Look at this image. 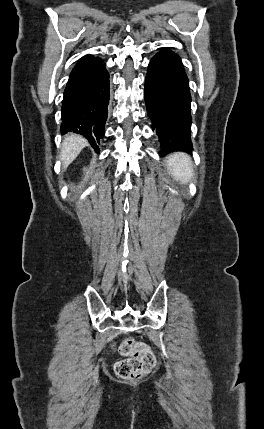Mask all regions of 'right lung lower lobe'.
<instances>
[{
    "label": "right lung lower lobe",
    "instance_id": "1",
    "mask_svg": "<svg viewBox=\"0 0 264 429\" xmlns=\"http://www.w3.org/2000/svg\"><path fill=\"white\" fill-rule=\"evenodd\" d=\"M103 60L82 57L72 70L64 91L61 132H74L88 139L97 151L105 133L109 104V74Z\"/></svg>",
    "mask_w": 264,
    "mask_h": 429
}]
</instances>
